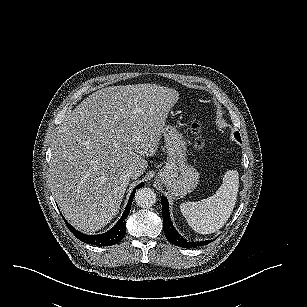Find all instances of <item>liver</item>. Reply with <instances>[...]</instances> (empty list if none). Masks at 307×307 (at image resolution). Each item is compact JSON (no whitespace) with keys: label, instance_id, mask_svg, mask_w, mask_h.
<instances>
[{"label":"liver","instance_id":"liver-1","mask_svg":"<svg viewBox=\"0 0 307 307\" xmlns=\"http://www.w3.org/2000/svg\"><path fill=\"white\" fill-rule=\"evenodd\" d=\"M179 93L156 84L120 85L90 94L56 133L51 190L66 220L84 233L119 213L130 178L148 167ZM129 172H134L130 178Z\"/></svg>","mask_w":307,"mask_h":307}]
</instances>
